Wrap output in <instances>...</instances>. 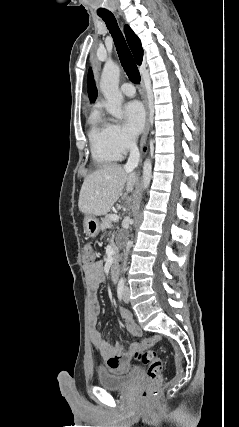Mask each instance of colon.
Returning <instances> with one entry per match:
<instances>
[{
    "mask_svg": "<svg viewBox=\"0 0 239 427\" xmlns=\"http://www.w3.org/2000/svg\"><path fill=\"white\" fill-rule=\"evenodd\" d=\"M83 263L86 266L92 265L96 261V252L92 244L86 243L82 248ZM136 358L147 367L149 383L142 391V398L149 400L157 395L163 381V362L154 350H144L136 353Z\"/></svg>",
    "mask_w": 239,
    "mask_h": 427,
    "instance_id": "colon-1",
    "label": "colon"
}]
</instances>
